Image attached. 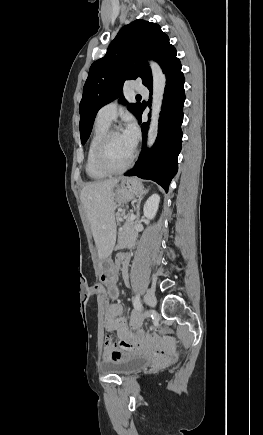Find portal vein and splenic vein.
<instances>
[{
  "instance_id": "portal-vein-and-splenic-vein-1",
  "label": "portal vein and splenic vein",
  "mask_w": 263,
  "mask_h": 435,
  "mask_svg": "<svg viewBox=\"0 0 263 435\" xmlns=\"http://www.w3.org/2000/svg\"><path fill=\"white\" fill-rule=\"evenodd\" d=\"M134 219H135V216H134V215H131V216H130V220L133 221Z\"/></svg>"
}]
</instances>
